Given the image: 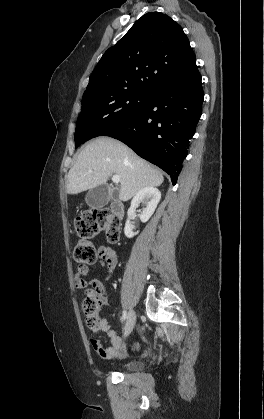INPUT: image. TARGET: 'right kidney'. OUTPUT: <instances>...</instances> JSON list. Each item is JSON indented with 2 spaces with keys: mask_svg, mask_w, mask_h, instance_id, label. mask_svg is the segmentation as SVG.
I'll return each mask as SVG.
<instances>
[{
  "mask_svg": "<svg viewBox=\"0 0 264 419\" xmlns=\"http://www.w3.org/2000/svg\"><path fill=\"white\" fill-rule=\"evenodd\" d=\"M161 199L160 191L155 187H145L137 192L134 198L131 201L130 208L128 209V218L125 224L124 233L126 237L132 238L137 232H133V226L130 223L131 216H133L136 208L143 203L145 208L139 215V218L142 222H147L149 218L154 213L159 201Z\"/></svg>",
  "mask_w": 264,
  "mask_h": 419,
  "instance_id": "1",
  "label": "right kidney"
}]
</instances>
